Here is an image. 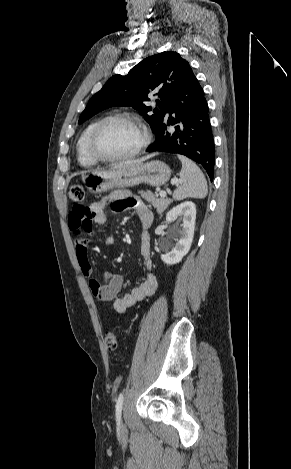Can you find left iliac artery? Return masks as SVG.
Wrapping results in <instances>:
<instances>
[{
	"instance_id": "1",
	"label": "left iliac artery",
	"mask_w": 291,
	"mask_h": 469,
	"mask_svg": "<svg viewBox=\"0 0 291 469\" xmlns=\"http://www.w3.org/2000/svg\"><path fill=\"white\" fill-rule=\"evenodd\" d=\"M123 401H124V396L123 394L121 393L116 401V405H115V408H116V421H117V424H120V420H121V411H122V406H123Z\"/></svg>"
}]
</instances>
